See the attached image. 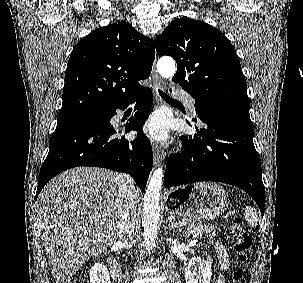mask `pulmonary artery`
I'll use <instances>...</instances> for the list:
<instances>
[{"label":"pulmonary artery","instance_id":"obj_1","mask_svg":"<svg viewBox=\"0 0 303 283\" xmlns=\"http://www.w3.org/2000/svg\"><path fill=\"white\" fill-rule=\"evenodd\" d=\"M175 95L176 97L182 99L190 110L192 111L195 110V106H196L195 99L189 93H187L184 90L178 89Z\"/></svg>","mask_w":303,"mask_h":283}]
</instances>
